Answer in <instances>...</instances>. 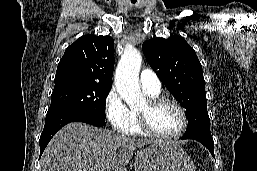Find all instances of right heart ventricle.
Masks as SVG:
<instances>
[{
  "label": "right heart ventricle",
  "mask_w": 257,
  "mask_h": 171,
  "mask_svg": "<svg viewBox=\"0 0 257 171\" xmlns=\"http://www.w3.org/2000/svg\"><path fill=\"white\" fill-rule=\"evenodd\" d=\"M144 93L149 98L159 96V92L153 93V92L144 91ZM124 133H126L128 135H135V136H139V135L144 134V132L141 130L140 125H139V119H138V113L137 112H133L131 124H130L129 128Z\"/></svg>",
  "instance_id": "right-heart-ventricle-1"
}]
</instances>
